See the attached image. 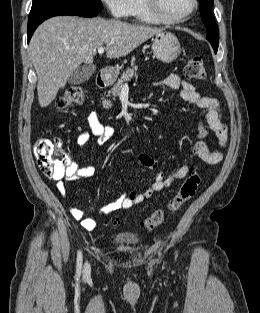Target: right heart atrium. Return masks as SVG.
<instances>
[{"instance_id": "d8ad5b80", "label": "right heart atrium", "mask_w": 260, "mask_h": 313, "mask_svg": "<svg viewBox=\"0 0 260 313\" xmlns=\"http://www.w3.org/2000/svg\"><path fill=\"white\" fill-rule=\"evenodd\" d=\"M132 0H102L110 14L115 18H126L130 15Z\"/></svg>"}]
</instances>
